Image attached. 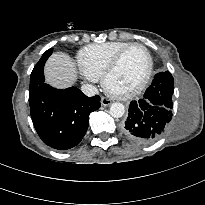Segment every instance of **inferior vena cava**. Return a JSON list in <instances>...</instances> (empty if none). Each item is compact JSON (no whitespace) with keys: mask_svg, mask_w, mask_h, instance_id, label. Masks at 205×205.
Masks as SVG:
<instances>
[{"mask_svg":"<svg viewBox=\"0 0 205 205\" xmlns=\"http://www.w3.org/2000/svg\"><path fill=\"white\" fill-rule=\"evenodd\" d=\"M81 90L88 97H92V96L98 94V89L95 86L90 85V84H83L81 86Z\"/></svg>","mask_w":205,"mask_h":205,"instance_id":"inferior-vena-cava-1","label":"inferior vena cava"}]
</instances>
